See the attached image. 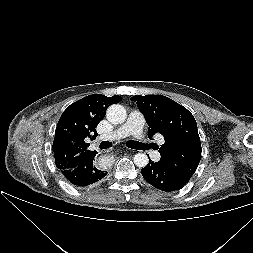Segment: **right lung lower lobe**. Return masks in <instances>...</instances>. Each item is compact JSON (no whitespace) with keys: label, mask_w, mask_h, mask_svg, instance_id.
Returning a JSON list of instances; mask_svg holds the SVG:
<instances>
[{"label":"right lung lower lobe","mask_w":253,"mask_h":253,"mask_svg":"<svg viewBox=\"0 0 253 253\" xmlns=\"http://www.w3.org/2000/svg\"><path fill=\"white\" fill-rule=\"evenodd\" d=\"M94 159L83 163L75 168L62 170L64 177L73 185L85 187L100 181L107 175V172L98 169Z\"/></svg>","instance_id":"obj_1"}]
</instances>
